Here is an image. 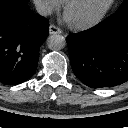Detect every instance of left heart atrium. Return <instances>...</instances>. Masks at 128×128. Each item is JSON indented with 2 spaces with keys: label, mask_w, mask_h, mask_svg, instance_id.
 Listing matches in <instances>:
<instances>
[{
  "label": "left heart atrium",
  "mask_w": 128,
  "mask_h": 128,
  "mask_svg": "<svg viewBox=\"0 0 128 128\" xmlns=\"http://www.w3.org/2000/svg\"><path fill=\"white\" fill-rule=\"evenodd\" d=\"M65 20L68 21V22L71 21L70 18L67 15L65 16Z\"/></svg>",
  "instance_id": "obj_1"
}]
</instances>
